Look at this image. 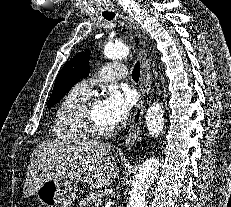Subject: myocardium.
<instances>
[{
  "label": "myocardium",
  "mask_w": 231,
  "mask_h": 207,
  "mask_svg": "<svg viewBox=\"0 0 231 207\" xmlns=\"http://www.w3.org/2000/svg\"><path fill=\"white\" fill-rule=\"evenodd\" d=\"M98 102L99 99L97 97H89L83 102L78 111V121L82 130L87 136L94 139L106 138L112 136L116 132V128L114 126L110 129H100L95 125L93 121L92 108Z\"/></svg>",
  "instance_id": "obj_1"
}]
</instances>
